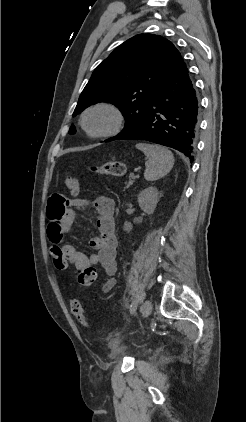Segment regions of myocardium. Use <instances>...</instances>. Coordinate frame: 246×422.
Segmentation results:
<instances>
[{"label":"myocardium","instance_id":"myocardium-1","mask_svg":"<svg viewBox=\"0 0 246 422\" xmlns=\"http://www.w3.org/2000/svg\"><path fill=\"white\" fill-rule=\"evenodd\" d=\"M96 110L107 111L111 115L112 120H111L110 125L107 128L101 131L93 132L87 127L86 118L91 112L96 111ZM124 121H125L124 115L122 111L116 105L110 102H98L93 105H90L83 111L80 118V125L83 131L88 136L92 138H106V137H111L118 134L124 126Z\"/></svg>","mask_w":246,"mask_h":422}]
</instances>
